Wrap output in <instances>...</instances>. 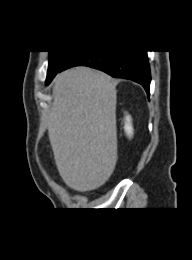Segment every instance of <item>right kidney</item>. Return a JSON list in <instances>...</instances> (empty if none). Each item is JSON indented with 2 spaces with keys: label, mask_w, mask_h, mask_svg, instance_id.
I'll return each mask as SVG.
<instances>
[{
  "label": "right kidney",
  "mask_w": 192,
  "mask_h": 260,
  "mask_svg": "<svg viewBox=\"0 0 192 260\" xmlns=\"http://www.w3.org/2000/svg\"><path fill=\"white\" fill-rule=\"evenodd\" d=\"M124 130H125L127 136H129L131 138L133 135V127H132L130 116H126Z\"/></svg>",
  "instance_id": "1"
}]
</instances>
